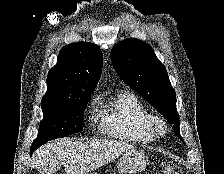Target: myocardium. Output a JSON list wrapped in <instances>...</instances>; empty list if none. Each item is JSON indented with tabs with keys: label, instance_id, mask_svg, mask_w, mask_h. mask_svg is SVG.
Returning <instances> with one entry per match:
<instances>
[{
	"label": "myocardium",
	"instance_id": "obj_1",
	"mask_svg": "<svg viewBox=\"0 0 224 174\" xmlns=\"http://www.w3.org/2000/svg\"><path fill=\"white\" fill-rule=\"evenodd\" d=\"M145 126L154 137L163 136L167 132L165 119L156 114H149L146 117Z\"/></svg>",
	"mask_w": 224,
	"mask_h": 174
}]
</instances>
